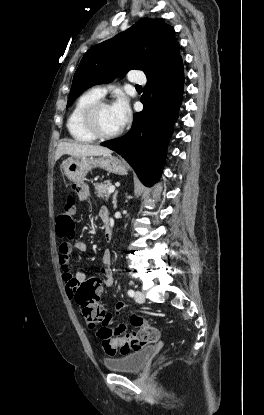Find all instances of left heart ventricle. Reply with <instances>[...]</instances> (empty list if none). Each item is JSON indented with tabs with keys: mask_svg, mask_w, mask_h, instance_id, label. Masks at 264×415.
<instances>
[{
	"mask_svg": "<svg viewBox=\"0 0 264 415\" xmlns=\"http://www.w3.org/2000/svg\"><path fill=\"white\" fill-rule=\"evenodd\" d=\"M99 130L104 134L117 131L122 125L111 105L104 106L97 115Z\"/></svg>",
	"mask_w": 264,
	"mask_h": 415,
	"instance_id": "obj_1",
	"label": "left heart ventricle"
}]
</instances>
